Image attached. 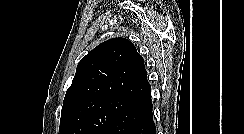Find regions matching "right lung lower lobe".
<instances>
[{"instance_id":"obj_1","label":"right lung lower lobe","mask_w":244,"mask_h":134,"mask_svg":"<svg viewBox=\"0 0 244 134\" xmlns=\"http://www.w3.org/2000/svg\"><path fill=\"white\" fill-rule=\"evenodd\" d=\"M151 91L131 101L102 134H155Z\"/></svg>"}]
</instances>
